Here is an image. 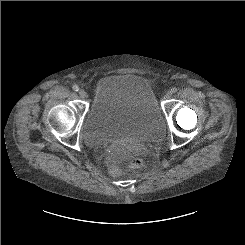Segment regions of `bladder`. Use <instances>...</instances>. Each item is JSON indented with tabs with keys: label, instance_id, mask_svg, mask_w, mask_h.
Returning <instances> with one entry per match:
<instances>
[{
	"label": "bladder",
	"instance_id": "31cf9c89",
	"mask_svg": "<svg viewBox=\"0 0 245 245\" xmlns=\"http://www.w3.org/2000/svg\"><path fill=\"white\" fill-rule=\"evenodd\" d=\"M164 117L148 80L135 73H112L94 85L82 136L89 144L153 141Z\"/></svg>",
	"mask_w": 245,
	"mask_h": 245
}]
</instances>
